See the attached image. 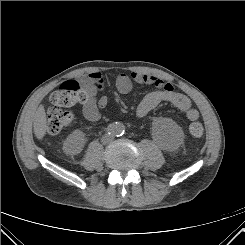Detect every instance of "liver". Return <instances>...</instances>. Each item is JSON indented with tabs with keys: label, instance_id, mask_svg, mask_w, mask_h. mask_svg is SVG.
<instances>
[{
	"label": "liver",
	"instance_id": "6515ba94",
	"mask_svg": "<svg viewBox=\"0 0 245 245\" xmlns=\"http://www.w3.org/2000/svg\"><path fill=\"white\" fill-rule=\"evenodd\" d=\"M33 127L36 138L41 140L45 136L47 129V118L43 105H40L36 111Z\"/></svg>",
	"mask_w": 245,
	"mask_h": 245
}]
</instances>
